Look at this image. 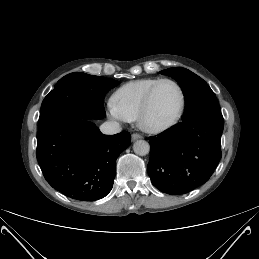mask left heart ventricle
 I'll list each match as a JSON object with an SVG mask.
<instances>
[{
	"label": "left heart ventricle",
	"mask_w": 259,
	"mask_h": 259,
	"mask_svg": "<svg viewBox=\"0 0 259 259\" xmlns=\"http://www.w3.org/2000/svg\"><path fill=\"white\" fill-rule=\"evenodd\" d=\"M179 102V93L173 84L168 82L160 84L154 92L147 122L150 125L167 123L176 115Z\"/></svg>",
	"instance_id": "b2bd125f"
}]
</instances>
